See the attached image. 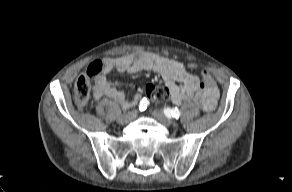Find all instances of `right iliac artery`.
Returning <instances> with one entry per match:
<instances>
[{
	"label": "right iliac artery",
	"instance_id": "obj_1",
	"mask_svg": "<svg viewBox=\"0 0 292 192\" xmlns=\"http://www.w3.org/2000/svg\"><path fill=\"white\" fill-rule=\"evenodd\" d=\"M149 104V102L147 101V99H142L139 103V109L142 111V110H145L147 108V105Z\"/></svg>",
	"mask_w": 292,
	"mask_h": 192
}]
</instances>
